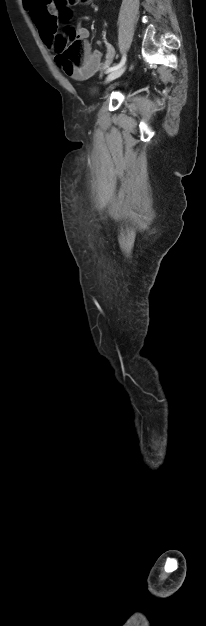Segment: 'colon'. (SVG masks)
Returning <instances> with one entry per match:
<instances>
[{
    "instance_id": "colon-1",
    "label": "colon",
    "mask_w": 206,
    "mask_h": 626,
    "mask_svg": "<svg viewBox=\"0 0 206 626\" xmlns=\"http://www.w3.org/2000/svg\"><path fill=\"white\" fill-rule=\"evenodd\" d=\"M91 0H53L56 9L65 11L68 7L78 4H89ZM57 50L62 53L66 60L78 64L81 62L84 46L77 39V31L70 28L57 42Z\"/></svg>"
}]
</instances>
